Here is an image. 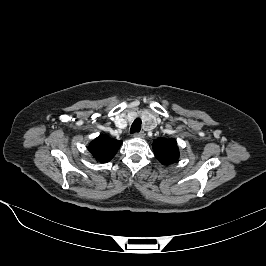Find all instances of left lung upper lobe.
<instances>
[{
    "instance_id": "5c2ea615",
    "label": "left lung upper lobe",
    "mask_w": 266,
    "mask_h": 266,
    "mask_svg": "<svg viewBox=\"0 0 266 266\" xmlns=\"http://www.w3.org/2000/svg\"><path fill=\"white\" fill-rule=\"evenodd\" d=\"M156 158L165 165L175 163L179 158V150L175 139H156L153 141Z\"/></svg>"
}]
</instances>
